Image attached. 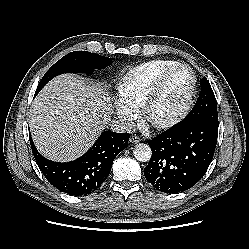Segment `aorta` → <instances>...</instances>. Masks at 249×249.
<instances>
[{"instance_id": "762f6f07", "label": "aorta", "mask_w": 249, "mask_h": 249, "mask_svg": "<svg viewBox=\"0 0 249 249\" xmlns=\"http://www.w3.org/2000/svg\"><path fill=\"white\" fill-rule=\"evenodd\" d=\"M133 154L136 160L140 162H147L151 159L152 151L149 145L145 143H139L135 145Z\"/></svg>"}]
</instances>
